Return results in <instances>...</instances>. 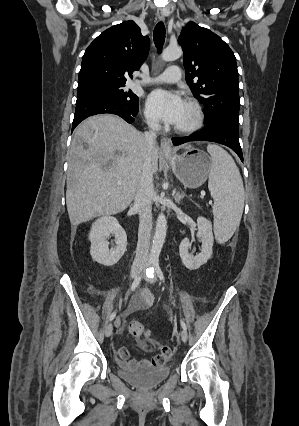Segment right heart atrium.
<instances>
[{
    "label": "right heart atrium",
    "mask_w": 299,
    "mask_h": 426,
    "mask_svg": "<svg viewBox=\"0 0 299 426\" xmlns=\"http://www.w3.org/2000/svg\"><path fill=\"white\" fill-rule=\"evenodd\" d=\"M145 118L147 123L151 126V127H158V122L157 120H155L154 118H152L150 115H148L147 113H145Z\"/></svg>",
    "instance_id": "1"
}]
</instances>
